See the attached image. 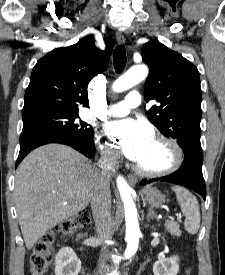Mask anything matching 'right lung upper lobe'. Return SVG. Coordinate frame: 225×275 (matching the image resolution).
<instances>
[{
  "label": "right lung upper lobe",
  "instance_id": "right-lung-upper-lobe-1",
  "mask_svg": "<svg viewBox=\"0 0 225 275\" xmlns=\"http://www.w3.org/2000/svg\"><path fill=\"white\" fill-rule=\"evenodd\" d=\"M112 41L99 50L92 37L57 48L42 57L33 68L25 93L22 116L47 111H75L89 107L87 86L102 73L109 61Z\"/></svg>",
  "mask_w": 225,
  "mask_h": 275
}]
</instances>
